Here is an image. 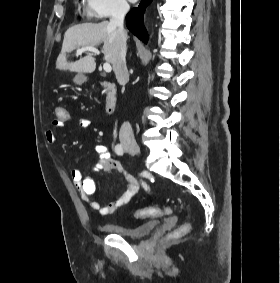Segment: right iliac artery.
<instances>
[{
    "label": "right iliac artery",
    "mask_w": 280,
    "mask_h": 283,
    "mask_svg": "<svg viewBox=\"0 0 280 283\" xmlns=\"http://www.w3.org/2000/svg\"><path fill=\"white\" fill-rule=\"evenodd\" d=\"M115 152H116L117 155H123L124 154V149H123L121 144H117L115 146Z\"/></svg>",
    "instance_id": "1"
}]
</instances>
